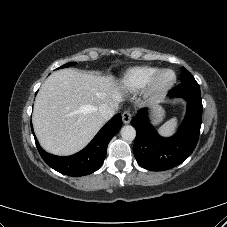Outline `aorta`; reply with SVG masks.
Returning a JSON list of instances; mask_svg holds the SVG:
<instances>
[{
    "instance_id": "762f6f07",
    "label": "aorta",
    "mask_w": 227,
    "mask_h": 227,
    "mask_svg": "<svg viewBox=\"0 0 227 227\" xmlns=\"http://www.w3.org/2000/svg\"><path fill=\"white\" fill-rule=\"evenodd\" d=\"M121 137L126 141H133L136 137V130L131 125H125L121 128Z\"/></svg>"
}]
</instances>
